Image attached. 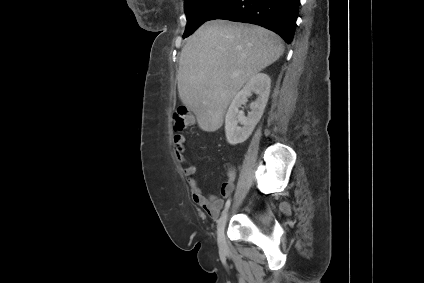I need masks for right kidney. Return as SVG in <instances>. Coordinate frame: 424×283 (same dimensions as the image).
Segmentation results:
<instances>
[{
	"instance_id": "ca27d5eb",
	"label": "right kidney",
	"mask_w": 424,
	"mask_h": 283,
	"mask_svg": "<svg viewBox=\"0 0 424 283\" xmlns=\"http://www.w3.org/2000/svg\"><path fill=\"white\" fill-rule=\"evenodd\" d=\"M271 79L266 73H258L250 78L245 86L233 98L226 116L225 133L227 142L236 145L246 141L260 121L268 102ZM258 95L250 105L251 112L246 117L239 108L247 102L252 93ZM238 123L242 127L238 126Z\"/></svg>"
}]
</instances>
